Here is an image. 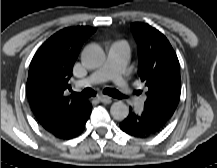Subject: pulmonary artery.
I'll return each instance as SVG.
<instances>
[{"instance_id": "obj_1", "label": "pulmonary artery", "mask_w": 217, "mask_h": 168, "mask_svg": "<svg viewBox=\"0 0 217 168\" xmlns=\"http://www.w3.org/2000/svg\"><path fill=\"white\" fill-rule=\"evenodd\" d=\"M130 58V50L125 42L116 41L108 50L106 63L88 75L82 83L86 86L111 80L126 100L135 107L143 105V98L134 94L132 87L125 78V70Z\"/></svg>"}]
</instances>
